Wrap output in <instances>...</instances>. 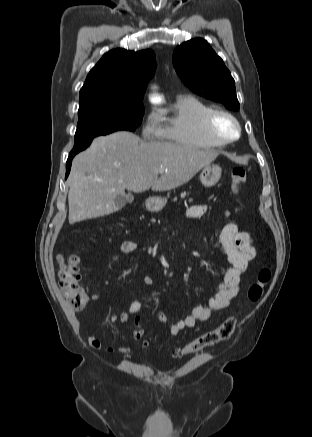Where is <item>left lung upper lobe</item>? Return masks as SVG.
Wrapping results in <instances>:
<instances>
[{"mask_svg": "<svg viewBox=\"0 0 312 437\" xmlns=\"http://www.w3.org/2000/svg\"><path fill=\"white\" fill-rule=\"evenodd\" d=\"M173 65L183 83L193 92L220 102L227 109L239 110L234 79L206 40L195 38L177 46L173 52Z\"/></svg>", "mask_w": 312, "mask_h": 437, "instance_id": "1", "label": "left lung upper lobe"}]
</instances>
